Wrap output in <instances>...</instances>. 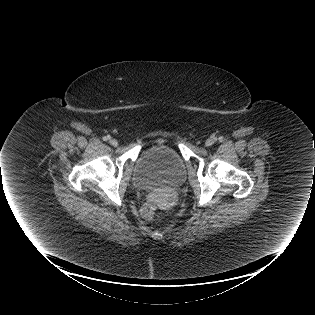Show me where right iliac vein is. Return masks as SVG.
<instances>
[{"mask_svg": "<svg viewBox=\"0 0 315 315\" xmlns=\"http://www.w3.org/2000/svg\"><path fill=\"white\" fill-rule=\"evenodd\" d=\"M110 144H111L112 146H117V145H118V141H117L116 139H111V140H110Z\"/></svg>", "mask_w": 315, "mask_h": 315, "instance_id": "1", "label": "right iliac vein"}]
</instances>
